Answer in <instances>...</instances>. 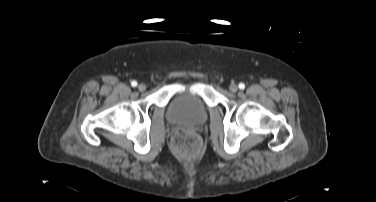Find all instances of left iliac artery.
I'll return each instance as SVG.
<instances>
[{
    "label": "left iliac artery",
    "mask_w": 376,
    "mask_h": 202,
    "mask_svg": "<svg viewBox=\"0 0 376 202\" xmlns=\"http://www.w3.org/2000/svg\"><path fill=\"white\" fill-rule=\"evenodd\" d=\"M239 88H240L241 90H243V89L245 88V84H244V83H239Z\"/></svg>",
    "instance_id": "left-iliac-artery-1"
}]
</instances>
